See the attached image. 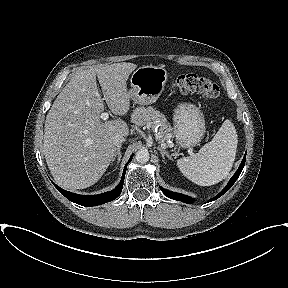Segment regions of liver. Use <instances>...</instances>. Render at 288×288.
I'll return each instance as SVG.
<instances>
[{"mask_svg":"<svg viewBox=\"0 0 288 288\" xmlns=\"http://www.w3.org/2000/svg\"><path fill=\"white\" fill-rule=\"evenodd\" d=\"M136 68L122 62L78 71L57 96L46 116L43 153L58 185L84 189L105 173L116 155L114 137L128 136L129 127L121 119H100L104 100L113 114H127L131 98L126 82Z\"/></svg>","mask_w":288,"mask_h":288,"instance_id":"6515ba94","label":"liver"}]
</instances>
